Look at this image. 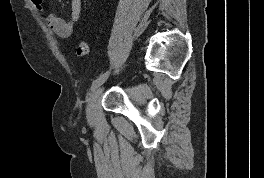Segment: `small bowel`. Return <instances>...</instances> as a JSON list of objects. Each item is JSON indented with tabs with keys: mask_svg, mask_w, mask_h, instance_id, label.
<instances>
[{
	"mask_svg": "<svg viewBox=\"0 0 264 178\" xmlns=\"http://www.w3.org/2000/svg\"><path fill=\"white\" fill-rule=\"evenodd\" d=\"M82 0H71L70 17L63 19L53 13L45 14L47 26L59 37L67 38L72 35L80 19Z\"/></svg>",
	"mask_w": 264,
	"mask_h": 178,
	"instance_id": "obj_1",
	"label": "small bowel"
}]
</instances>
